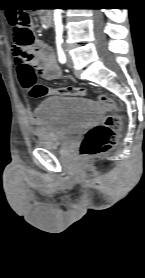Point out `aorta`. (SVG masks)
Instances as JSON below:
<instances>
[{
	"mask_svg": "<svg viewBox=\"0 0 145 278\" xmlns=\"http://www.w3.org/2000/svg\"><path fill=\"white\" fill-rule=\"evenodd\" d=\"M61 9L54 10V23H55V31L57 36H61L63 33V24L61 19Z\"/></svg>",
	"mask_w": 145,
	"mask_h": 278,
	"instance_id": "762f6f07",
	"label": "aorta"
}]
</instances>
